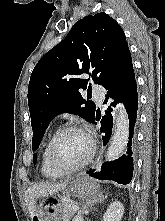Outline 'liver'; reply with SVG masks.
Segmentation results:
<instances>
[{
	"instance_id": "liver-1",
	"label": "liver",
	"mask_w": 165,
	"mask_h": 221,
	"mask_svg": "<svg viewBox=\"0 0 165 221\" xmlns=\"http://www.w3.org/2000/svg\"><path fill=\"white\" fill-rule=\"evenodd\" d=\"M68 184V180L60 183H39L29 187L26 191L25 201L27 203L31 218L36 213V199L40 196H48L63 190Z\"/></svg>"
}]
</instances>
